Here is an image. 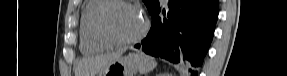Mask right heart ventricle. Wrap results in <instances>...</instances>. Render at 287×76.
<instances>
[{"label": "right heart ventricle", "instance_id": "right-heart-ventricle-1", "mask_svg": "<svg viewBox=\"0 0 287 76\" xmlns=\"http://www.w3.org/2000/svg\"><path fill=\"white\" fill-rule=\"evenodd\" d=\"M107 0H90L84 6L80 18V49L83 53H99L108 48L94 31V19Z\"/></svg>", "mask_w": 287, "mask_h": 76}]
</instances>
